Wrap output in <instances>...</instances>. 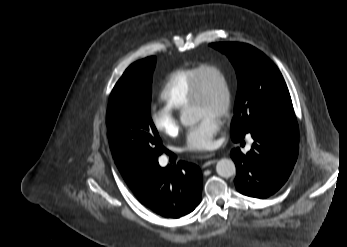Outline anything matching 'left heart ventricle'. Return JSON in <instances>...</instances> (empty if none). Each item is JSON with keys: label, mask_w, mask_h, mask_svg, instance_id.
<instances>
[{"label": "left heart ventricle", "mask_w": 347, "mask_h": 247, "mask_svg": "<svg viewBox=\"0 0 347 247\" xmlns=\"http://www.w3.org/2000/svg\"><path fill=\"white\" fill-rule=\"evenodd\" d=\"M204 99L199 105L191 106L190 110L196 119L210 115L219 117V112L224 101V89L222 81L214 72H208L204 76Z\"/></svg>", "instance_id": "obj_1"}]
</instances>
